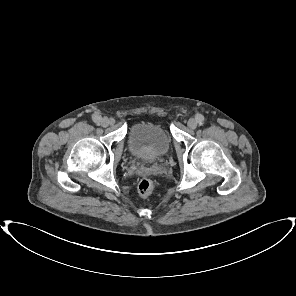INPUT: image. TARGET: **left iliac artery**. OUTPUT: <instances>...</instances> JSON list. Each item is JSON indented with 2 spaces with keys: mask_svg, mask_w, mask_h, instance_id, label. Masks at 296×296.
<instances>
[{
  "mask_svg": "<svg viewBox=\"0 0 296 296\" xmlns=\"http://www.w3.org/2000/svg\"><path fill=\"white\" fill-rule=\"evenodd\" d=\"M197 121H198L199 125H202L203 121H204V117L202 115H198L197 116Z\"/></svg>",
  "mask_w": 296,
  "mask_h": 296,
  "instance_id": "obj_1",
  "label": "left iliac artery"
}]
</instances>
